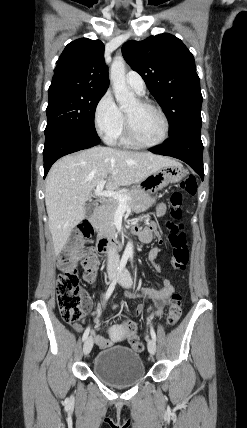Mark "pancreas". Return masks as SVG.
<instances>
[{
	"label": "pancreas",
	"mask_w": 247,
	"mask_h": 428,
	"mask_svg": "<svg viewBox=\"0 0 247 428\" xmlns=\"http://www.w3.org/2000/svg\"><path fill=\"white\" fill-rule=\"evenodd\" d=\"M121 193L131 197V200L127 201V204L132 211L137 213L149 208L154 201V198L138 186L121 191ZM118 206L119 201L114 198H110L98 212L95 225L101 233L105 232L107 229H115L114 215Z\"/></svg>",
	"instance_id": "1"
}]
</instances>
